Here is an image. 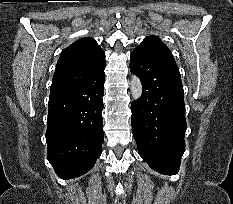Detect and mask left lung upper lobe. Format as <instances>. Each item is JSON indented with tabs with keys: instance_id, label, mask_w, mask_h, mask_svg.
Segmentation results:
<instances>
[{
	"instance_id": "left-lung-upper-lobe-1",
	"label": "left lung upper lobe",
	"mask_w": 233,
	"mask_h": 204,
	"mask_svg": "<svg viewBox=\"0 0 233 204\" xmlns=\"http://www.w3.org/2000/svg\"><path fill=\"white\" fill-rule=\"evenodd\" d=\"M136 49L175 62L170 50L163 42H161V40L157 36L146 37L141 45Z\"/></svg>"
}]
</instances>
